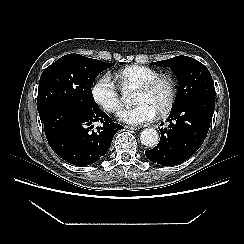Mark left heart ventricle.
Segmentation results:
<instances>
[{
  "label": "left heart ventricle",
  "instance_id": "b2bd125f",
  "mask_svg": "<svg viewBox=\"0 0 244 244\" xmlns=\"http://www.w3.org/2000/svg\"><path fill=\"white\" fill-rule=\"evenodd\" d=\"M169 98V86L166 82L159 83L151 92L137 91L134 96V103H146L151 106L156 113L162 109Z\"/></svg>",
  "mask_w": 244,
  "mask_h": 244
}]
</instances>
